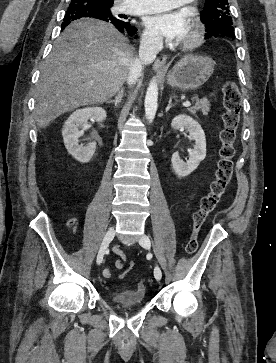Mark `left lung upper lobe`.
Masks as SVG:
<instances>
[{
    "instance_id": "1",
    "label": "left lung upper lobe",
    "mask_w": 276,
    "mask_h": 363,
    "mask_svg": "<svg viewBox=\"0 0 276 363\" xmlns=\"http://www.w3.org/2000/svg\"><path fill=\"white\" fill-rule=\"evenodd\" d=\"M228 0H205L201 20L206 26V38H235Z\"/></svg>"
}]
</instances>
